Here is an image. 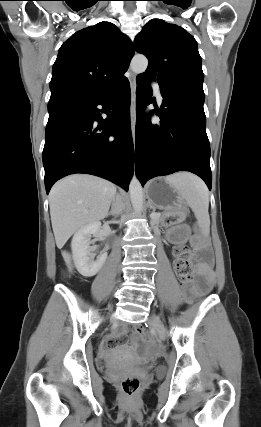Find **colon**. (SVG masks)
I'll return each mask as SVG.
<instances>
[{
	"mask_svg": "<svg viewBox=\"0 0 261 427\" xmlns=\"http://www.w3.org/2000/svg\"><path fill=\"white\" fill-rule=\"evenodd\" d=\"M187 255L188 249L184 246H179L174 250V267L182 283H186L190 279V271L186 262ZM136 333L142 343L146 344L149 342V338L142 328H137ZM139 388L140 380L138 377L129 376L124 378L121 382L122 392L128 397L134 396L138 392Z\"/></svg>",
	"mask_w": 261,
	"mask_h": 427,
	"instance_id": "obj_1",
	"label": "colon"
}]
</instances>
